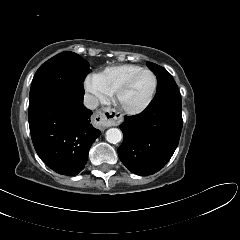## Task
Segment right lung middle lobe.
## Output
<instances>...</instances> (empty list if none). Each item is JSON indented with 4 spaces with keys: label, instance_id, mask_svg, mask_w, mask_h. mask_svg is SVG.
<instances>
[{
    "label": "right lung middle lobe",
    "instance_id": "right-lung-middle-lobe-1",
    "mask_svg": "<svg viewBox=\"0 0 240 240\" xmlns=\"http://www.w3.org/2000/svg\"><path fill=\"white\" fill-rule=\"evenodd\" d=\"M89 71V63L74 52L65 51L52 57L34 75L29 105L57 91L84 93L83 81Z\"/></svg>",
    "mask_w": 240,
    "mask_h": 240
}]
</instances>
